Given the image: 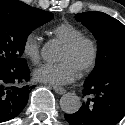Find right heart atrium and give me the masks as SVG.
<instances>
[{
    "mask_svg": "<svg viewBox=\"0 0 125 125\" xmlns=\"http://www.w3.org/2000/svg\"><path fill=\"white\" fill-rule=\"evenodd\" d=\"M41 37L31 32L29 33L22 44V53L32 63L36 64L40 60Z\"/></svg>",
    "mask_w": 125,
    "mask_h": 125,
    "instance_id": "d8ad5b80",
    "label": "right heart atrium"
}]
</instances>
